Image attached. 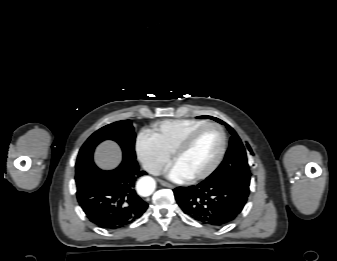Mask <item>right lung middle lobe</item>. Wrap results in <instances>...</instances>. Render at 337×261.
Segmentation results:
<instances>
[{
  "instance_id": "1",
  "label": "right lung middle lobe",
  "mask_w": 337,
  "mask_h": 261,
  "mask_svg": "<svg viewBox=\"0 0 337 261\" xmlns=\"http://www.w3.org/2000/svg\"><path fill=\"white\" fill-rule=\"evenodd\" d=\"M135 138L136 134L131 120L117 121L100 128L81 147L76 161V168L92 161L95 147L100 142L108 139L116 141L121 146L124 155L136 158Z\"/></svg>"
}]
</instances>
